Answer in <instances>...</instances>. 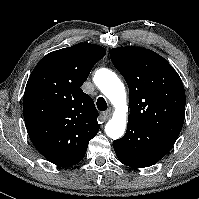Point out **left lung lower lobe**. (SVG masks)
I'll list each match as a JSON object with an SVG mask.
<instances>
[{
  "instance_id": "obj_1",
  "label": "left lung lower lobe",
  "mask_w": 199,
  "mask_h": 199,
  "mask_svg": "<svg viewBox=\"0 0 199 199\" xmlns=\"http://www.w3.org/2000/svg\"><path fill=\"white\" fill-rule=\"evenodd\" d=\"M175 140L133 121H128L125 135L113 142L118 159L134 168L149 167L163 158Z\"/></svg>"
}]
</instances>
